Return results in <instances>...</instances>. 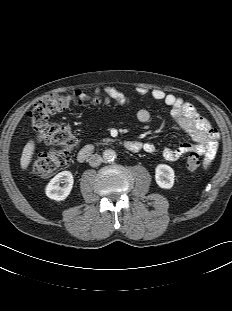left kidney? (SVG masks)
Returning a JSON list of instances; mask_svg holds the SVG:
<instances>
[{"instance_id":"left-kidney-1","label":"left kidney","mask_w":232,"mask_h":311,"mask_svg":"<svg viewBox=\"0 0 232 311\" xmlns=\"http://www.w3.org/2000/svg\"><path fill=\"white\" fill-rule=\"evenodd\" d=\"M174 170L166 165L159 164L155 169V180L159 187L164 189L172 188L174 184Z\"/></svg>"}]
</instances>
